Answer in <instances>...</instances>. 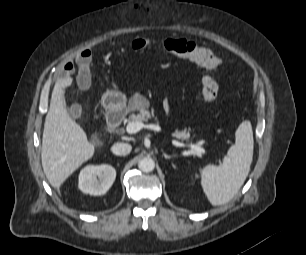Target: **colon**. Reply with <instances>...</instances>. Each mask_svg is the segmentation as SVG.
Segmentation results:
<instances>
[{
	"label": "colon",
	"mask_w": 306,
	"mask_h": 255,
	"mask_svg": "<svg viewBox=\"0 0 306 255\" xmlns=\"http://www.w3.org/2000/svg\"><path fill=\"white\" fill-rule=\"evenodd\" d=\"M164 47L185 59L192 61L200 67H203L211 72L203 78V95L209 102H216L218 99L219 86L217 82V74L220 72L223 61L209 49L198 46L196 43L184 39H166ZM149 45L145 38L135 39L131 46L135 51H143Z\"/></svg>",
	"instance_id": "5ec220e1"
}]
</instances>
